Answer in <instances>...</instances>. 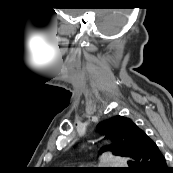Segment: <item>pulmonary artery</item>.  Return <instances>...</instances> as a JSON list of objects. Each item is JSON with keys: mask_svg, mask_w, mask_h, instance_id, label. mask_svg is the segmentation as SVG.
Segmentation results:
<instances>
[{"mask_svg": "<svg viewBox=\"0 0 173 173\" xmlns=\"http://www.w3.org/2000/svg\"><path fill=\"white\" fill-rule=\"evenodd\" d=\"M101 162L103 165L108 166L109 168H119L125 164L122 158L112 154H105L102 157Z\"/></svg>", "mask_w": 173, "mask_h": 173, "instance_id": "e3ab8cb5", "label": "pulmonary artery"}]
</instances>
